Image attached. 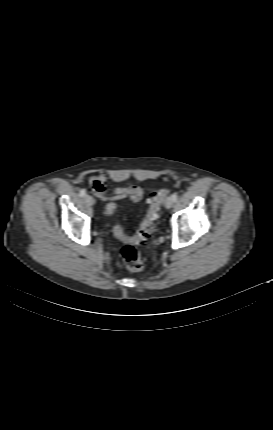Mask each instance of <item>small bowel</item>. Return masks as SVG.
I'll return each mask as SVG.
<instances>
[{
    "mask_svg": "<svg viewBox=\"0 0 273 430\" xmlns=\"http://www.w3.org/2000/svg\"><path fill=\"white\" fill-rule=\"evenodd\" d=\"M89 182L95 195L100 200L109 202V204H116L117 201L125 198L137 203L144 198L146 193L145 189L138 185H129L123 188H116L111 193H109L106 186L107 176L104 173L91 176L89 178Z\"/></svg>",
    "mask_w": 273,
    "mask_h": 430,
    "instance_id": "c3829d8e",
    "label": "small bowel"
}]
</instances>
